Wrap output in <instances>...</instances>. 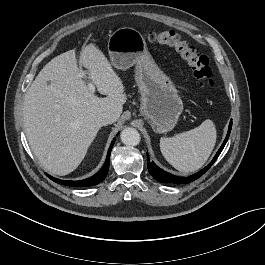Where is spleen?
<instances>
[{"instance_id":"3e777b00","label":"spleen","mask_w":265,"mask_h":265,"mask_svg":"<svg viewBox=\"0 0 265 265\" xmlns=\"http://www.w3.org/2000/svg\"><path fill=\"white\" fill-rule=\"evenodd\" d=\"M217 132L211 120H205L192 130L172 138L162 137L160 149L164 158L181 172H194L200 169L216 144Z\"/></svg>"}]
</instances>
